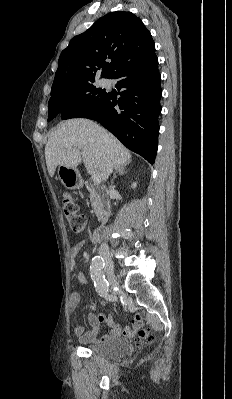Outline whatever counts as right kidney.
Returning a JSON list of instances; mask_svg holds the SVG:
<instances>
[{
	"label": "right kidney",
	"mask_w": 232,
	"mask_h": 399,
	"mask_svg": "<svg viewBox=\"0 0 232 399\" xmlns=\"http://www.w3.org/2000/svg\"><path fill=\"white\" fill-rule=\"evenodd\" d=\"M137 184L135 182V184H132V188H136Z\"/></svg>",
	"instance_id": "right-kidney-1"
}]
</instances>
